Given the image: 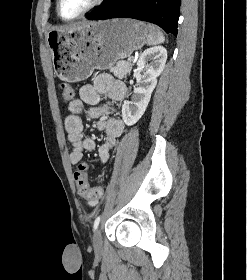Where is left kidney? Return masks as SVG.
Masks as SVG:
<instances>
[{"label":"left kidney","instance_id":"obj_1","mask_svg":"<svg viewBox=\"0 0 247 280\" xmlns=\"http://www.w3.org/2000/svg\"><path fill=\"white\" fill-rule=\"evenodd\" d=\"M166 60L167 50L163 46L148 48L139 57L137 72L143 69L145 72L140 75L137 85L134 86L131 101H125L122 106V118L126 125H134L144 114L156 87L157 77L162 73Z\"/></svg>","mask_w":247,"mask_h":280}]
</instances>
